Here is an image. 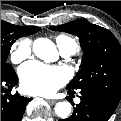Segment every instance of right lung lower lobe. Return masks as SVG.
Listing matches in <instances>:
<instances>
[{
	"label": "right lung lower lobe",
	"instance_id": "98d812e1",
	"mask_svg": "<svg viewBox=\"0 0 121 121\" xmlns=\"http://www.w3.org/2000/svg\"><path fill=\"white\" fill-rule=\"evenodd\" d=\"M18 83V77L14 70L1 74V89L8 86L7 94L1 95V121H20L26 105L32 98L11 94V89Z\"/></svg>",
	"mask_w": 121,
	"mask_h": 121
}]
</instances>
